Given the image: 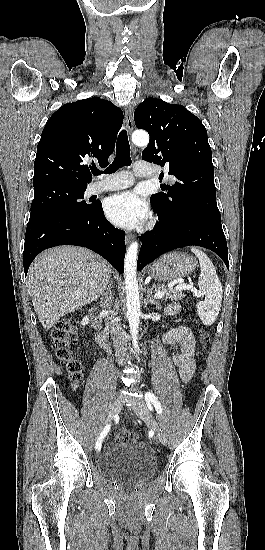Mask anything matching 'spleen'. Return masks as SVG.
Listing matches in <instances>:
<instances>
[{"mask_svg":"<svg viewBox=\"0 0 265 550\" xmlns=\"http://www.w3.org/2000/svg\"><path fill=\"white\" fill-rule=\"evenodd\" d=\"M191 251L198 257L201 273L199 277V289L205 296L204 301L197 303V310L202 323L212 325L221 308L223 290L217 276L216 269L209 257L200 249L192 247Z\"/></svg>","mask_w":265,"mask_h":550,"instance_id":"3e777b00","label":"spleen"}]
</instances>
